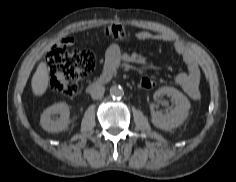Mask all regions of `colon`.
<instances>
[{"instance_id": "1", "label": "colon", "mask_w": 236, "mask_h": 182, "mask_svg": "<svg viewBox=\"0 0 236 182\" xmlns=\"http://www.w3.org/2000/svg\"><path fill=\"white\" fill-rule=\"evenodd\" d=\"M106 33L124 40L123 36L109 27ZM47 62L50 69V87L54 93L64 98H72L78 91V82L91 74L96 66V58L89 50L69 51L68 44L62 40L52 46ZM155 81L149 76H142L139 86L151 89Z\"/></svg>"}]
</instances>
